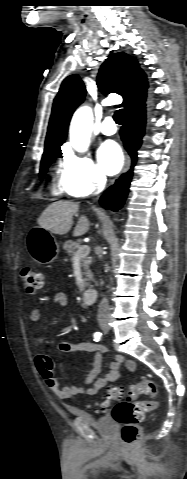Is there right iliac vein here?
Instances as JSON below:
<instances>
[{
    "instance_id": "obj_1",
    "label": "right iliac vein",
    "mask_w": 187,
    "mask_h": 479,
    "mask_svg": "<svg viewBox=\"0 0 187 479\" xmlns=\"http://www.w3.org/2000/svg\"><path fill=\"white\" fill-rule=\"evenodd\" d=\"M100 327H101V329L104 330V331H107V330L109 329V325H108L107 322H102V323L100 324Z\"/></svg>"
}]
</instances>
